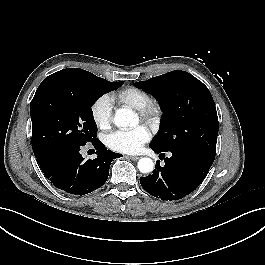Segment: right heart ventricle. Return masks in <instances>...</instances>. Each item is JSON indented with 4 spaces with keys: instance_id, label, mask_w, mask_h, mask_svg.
<instances>
[{
    "instance_id": "1",
    "label": "right heart ventricle",
    "mask_w": 265,
    "mask_h": 265,
    "mask_svg": "<svg viewBox=\"0 0 265 265\" xmlns=\"http://www.w3.org/2000/svg\"><path fill=\"white\" fill-rule=\"evenodd\" d=\"M117 100L123 105L138 110L151 100V96L144 89L128 87L117 94Z\"/></svg>"
}]
</instances>
